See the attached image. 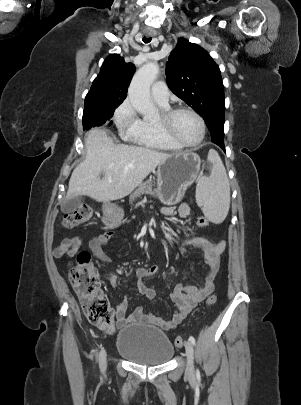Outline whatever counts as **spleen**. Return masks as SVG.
<instances>
[{"instance_id":"spleen-1","label":"spleen","mask_w":301,"mask_h":405,"mask_svg":"<svg viewBox=\"0 0 301 405\" xmlns=\"http://www.w3.org/2000/svg\"><path fill=\"white\" fill-rule=\"evenodd\" d=\"M208 161L212 164L209 177H201L196 188L197 201L204 215L214 223H221L230 208V187L225 167L218 153L210 150Z\"/></svg>"}]
</instances>
